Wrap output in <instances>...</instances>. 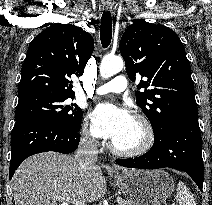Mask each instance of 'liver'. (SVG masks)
Here are the masks:
<instances>
[{"instance_id":"liver-1","label":"liver","mask_w":212,"mask_h":205,"mask_svg":"<svg viewBox=\"0 0 212 205\" xmlns=\"http://www.w3.org/2000/svg\"><path fill=\"white\" fill-rule=\"evenodd\" d=\"M12 189L15 205H63L61 200L66 197L85 204L101 199L107 192L100 166L82 170L75 157L57 152L27 158L12 178Z\"/></svg>"}]
</instances>
